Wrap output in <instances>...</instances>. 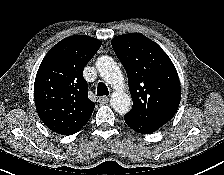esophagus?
<instances>
[{
    "instance_id": "esophagus-1",
    "label": "esophagus",
    "mask_w": 224,
    "mask_h": 175,
    "mask_svg": "<svg viewBox=\"0 0 224 175\" xmlns=\"http://www.w3.org/2000/svg\"><path fill=\"white\" fill-rule=\"evenodd\" d=\"M109 101V97L108 96H102L99 98V103L100 104H105Z\"/></svg>"
}]
</instances>
